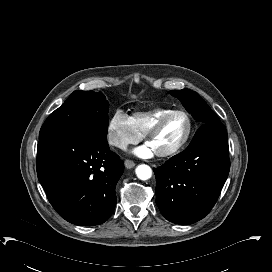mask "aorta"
<instances>
[{
  "label": "aorta",
  "mask_w": 272,
  "mask_h": 272,
  "mask_svg": "<svg viewBox=\"0 0 272 272\" xmlns=\"http://www.w3.org/2000/svg\"><path fill=\"white\" fill-rule=\"evenodd\" d=\"M136 175L140 180H148L152 176V170L148 165L142 164L137 166L136 170Z\"/></svg>",
  "instance_id": "1"
}]
</instances>
